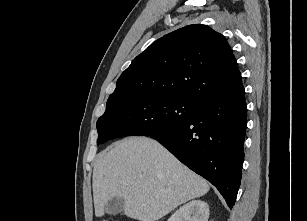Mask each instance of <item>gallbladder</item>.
<instances>
[{
    "label": "gallbladder",
    "instance_id": "bac80fb5",
    "mask_svg": "<svg viewBox=\"0 0 307 221\" xmlns=\"http://www.w3.org/2000/svg\"><path fill=\"white\" fill-rule=\"evenodd\" d=\"M124 199L114 197L105 206V212L110 215H116L123 211Z\"/></svg>",
    "mask_w": 307,
    "mask_h": 221
}]
</instances>
